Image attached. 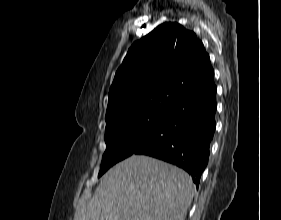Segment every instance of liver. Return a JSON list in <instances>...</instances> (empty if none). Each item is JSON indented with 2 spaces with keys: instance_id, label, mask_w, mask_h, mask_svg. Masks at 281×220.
<instances>
[{
  "instance_id": "6515ba94",
  "label": "liver",
  "mask_w": 281,
  "mask_h": 220,
  "mask_svg": "<svg viewBox=\"0 0 281 220\" xmlns=\"http://www.w3.org/2000/svg\"><path fill=\"white\" fill-rule=\"evenodd\" d=\"M193 195L192 178L184 170L132 155L102 176L74 220H185Z\"/></svg>"
}]
</instances>
